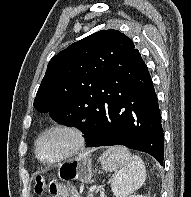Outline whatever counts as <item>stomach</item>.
<instances>
[{
	"label": "stomach",
	"mask_w": 191,
	"mask_h": 197,
	"mask_svg": "<svg viewBox=\"0 0 191 197\" xmlns=\"http://www.w3.org/2000/svg\"><path fill=\"white\" fill-rule=\"evenodd\" d=\"M105 170H116L120 163L109 157L106 151L100 158ZM58 176L61 180H78L83 183L90 181L92 177L91 159L87 155H80L73 160L63 164L58 169Z\"/></svg>",
	"instance_id": "0dacf381"
}]
</instances>
